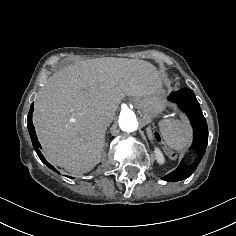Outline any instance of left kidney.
I'll return each mask as SVG.
<instances>
[{
  "mask_svg": "<svg viewBox=\"0 0 236 236\" xmlns=\"http://www.w3.org/2000/svg\"><path fill=\"white\" fill-rule=\"evenodd\" d=\"M157 159H158L159 162L163 161V157L160 153H157Z\"/></svg>",
  "mask_w": 236,
  "mask_h": 236,
  "instance_id": "5707ae66",
  "label": "left kidney"
}]
</instances>
